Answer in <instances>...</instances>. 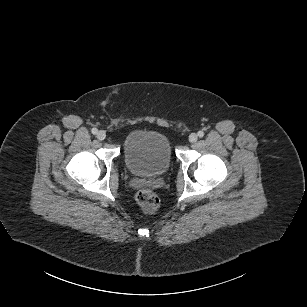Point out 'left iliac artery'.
Segmentation results:
<instances>
[{"label": "left iliac artery", "mask_w": 307, "mask_h": 307, "mask_svg": "<svg viewBox=\"0 0 307 307\" xmlns=\"http://www.w3.org/2000/svg\"><path fill=\"white\" fill-rule=\"evenodd\" d=\"M197 134H198V136H199L200 138H202V137L204 136V132H203V131H199Z\"/></svg>", "instance_id": "1"}]
</instances>
